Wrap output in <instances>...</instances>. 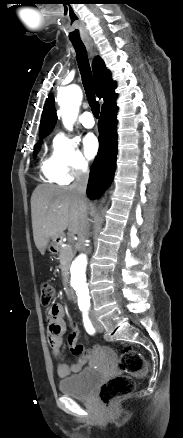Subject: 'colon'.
<instances>
[{"instance_id": "1", "label": "colon", "mask_w": 183, "mask_h": 438, "mask_svg": "<svg viewBox=\"0 0 183 438\" xmlns=\"http://www.w3.org/2000/svg\"><path fill=\"white\" fill-rule=\"evenodd\" d=\"M53 298V285L49 281L42 282L41 304L49 306ZM118 366L124 374L107 380L99 390V399L106 407L113 406L118 400L131 394L135 388V380L145 378L149 370L145 356L131 346L122 347Z\"/></svg>"}]
</instances>
